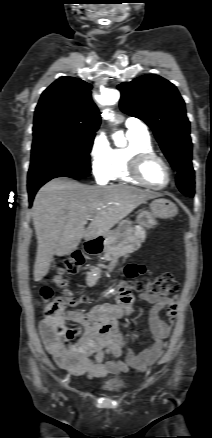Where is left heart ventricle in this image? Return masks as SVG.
<instances>
[{
    "mask_svg": "<svg viewBox=\"0 0 212 438\" xmlns=\"http://www.w3.org/2000/svg\"><path fill=\"white\" fill-rule=\"evenodd\" d=\"M142 174L146 181L155 186H162L167 181L166 170L162 163L156 159H151L145 163Z\"/></svg>",
    "mask_w": 212,
    "mask_h": 438,
    "instance_id": "b2bd125f",
    "label": "left heart ventricle"
}]
</instances>
